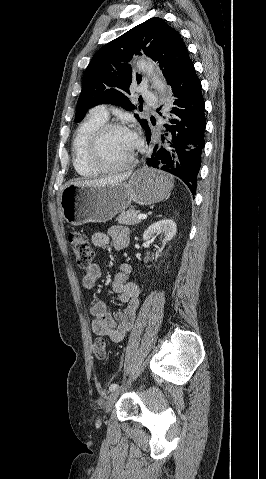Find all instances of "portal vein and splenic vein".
<instances>
[{"label":"portal vein and splenic vein","instance_id":"portal-vein-and-splenic-vein-1","mask_svg":"<svg viewBox=\"0 0 266 479\" xmlns=\"http://www.w3.org/2000/svg\"><path fill=\"white\" fill-rule=\"evenodd\" d=\"M137 218L140 219V220H141V219H146V218H147V215H146V214H139V215L137 216Z\"/></svg>","mask_w":266,"mask_h":479}]
</instances>
